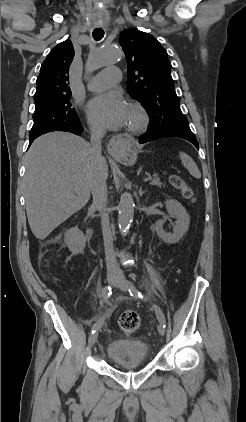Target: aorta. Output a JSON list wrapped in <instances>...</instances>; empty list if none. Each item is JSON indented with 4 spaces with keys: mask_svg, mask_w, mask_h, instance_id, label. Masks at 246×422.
Wrapping results in <instances>:
<instances>
[{
    "mask_svg": "<svg viewBox=\"0 0 246 422\" xmlns=\"http://www.w3.org/2000/svg\"><path fill=\"white\" fill-rule=\"evenodd\" d=\"M122 57V51L118 47L105 46L94 49L87 63V71L92 72L106 64L118 62ZM134 201L130 193L121 195L119 202L118 224L121 234L124 236L128 232L134 216Z\"/></svg>",
    "mask_w": 246,
    "mask_h": 422,
    "instance_id": "762f6f07",
    "label": "aorta"
}]
</instances>
